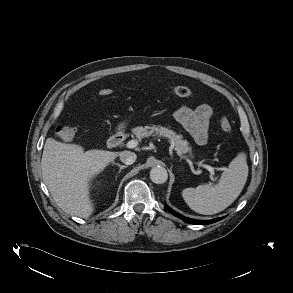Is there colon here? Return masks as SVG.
Here are the masks:
<instances>
[{
    "label": "colon",
    "instance_id": "colon-1",
    "mask_svg": "<svg viewBox=\"0 0 293 293\" xmlns=\"http://www.w3.org/2000/svg\"><path fill=\"white\" fill-rule=\"evenodd\" d=\"M112 92L113 91L111 89H102L99 92V94L101 96H107V95L112 94ZM172 93L178 97H189L192 95V91L186 86H175L172 89ZM220 126H221V129L225 133H231L232 126H231L229 119L226 116H222L220 118ZM75 133H76L75 128L72 126H69V125H61V126L57 127V129H56L57 137L63 142L71 141L74 138Z\"/></svg>",
    "mask_w": 293,
    "mask_h": 293
}]
</instances>
